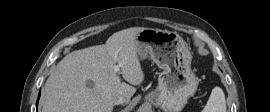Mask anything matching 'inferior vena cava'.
<instances>
[{
    "label": "inferior vena cava",
    "instance_id": "inferior-vena-cava-1",
    "mask_svg": "<svg viewBox=\"0 0 270 112\" xmlns=\"http://www.w3.org/2000/svg\"><path fill=\"white\" fill-rule=\"evenodd\" d=\"M127 100L124 96H116L113 100L114 105L124 104Z\"/></svg>",
    "mask_w": 270,
    "mask_h": 112
}]
</instances>
